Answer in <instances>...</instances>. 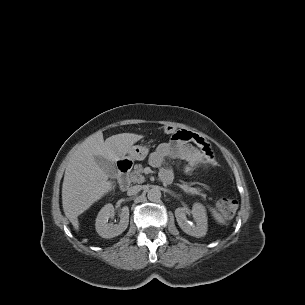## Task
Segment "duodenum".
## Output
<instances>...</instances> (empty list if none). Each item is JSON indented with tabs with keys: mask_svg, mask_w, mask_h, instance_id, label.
<instances>
[{
	"mask_svg": "<svg viewBox=\"0 0 305 305\" xmlns=\"http://www.w3.org/2000/svg\"><path fill=\"white\" fill-rule=\"evenodd\" d=\"M118 168V182L121 190H126L129 186V173L132 168L131 163L128 161H119L117 164ZM167 183V182H164Z\"/></svg>",
	"mask_w": 305,
	"mask_h": 305,
	"instance_id": "1",
	"label": "duodenum"
}]
</instances>
